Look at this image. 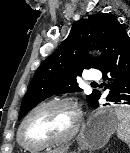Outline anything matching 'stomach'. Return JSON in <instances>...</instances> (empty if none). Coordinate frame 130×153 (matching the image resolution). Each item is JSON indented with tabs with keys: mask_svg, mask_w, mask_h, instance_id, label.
Instances as JSON below:
<instances>
[{
	"mask_svg": "<svg viewBox=\"0 0 130 153\" xmlns=\"http://www.w3.org/2000/svg\"><path fill=\"white\" fill-rule=\"evenodd\" d=\"M119 121L114 108L99 109L87 120L79 136V150L102 148L117 130Z\"/></svg>",
	"mask_w": 130,
	"mask_h": 153,
	"instance_id": "obj_1",
	"label": "stomach"
}]
</instances>
